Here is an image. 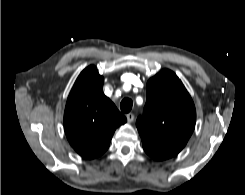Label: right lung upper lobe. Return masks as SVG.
I'll return each mask as SVG.
<instances>
[{"label": "right lung upper lobe", "instance_id": "right-lung-upper-lobe-1", "mask_svg": "<svg viewBox=\"0 0 245 195\" xmlns=\"http://www.w3.org/2000/svg\"><path fill=\"white\" fill-rule=\"evenodd\" d=\"M104 79L91 65L78 76L67 99L64 129L70 145L85 159L102 155L114 131L127 119L103 93Z\"/></svg>", "mask_w": 245, "mask_h": 195}]
</instances>
